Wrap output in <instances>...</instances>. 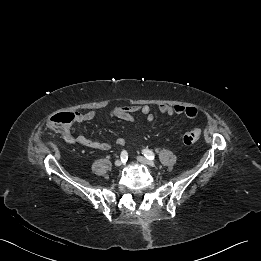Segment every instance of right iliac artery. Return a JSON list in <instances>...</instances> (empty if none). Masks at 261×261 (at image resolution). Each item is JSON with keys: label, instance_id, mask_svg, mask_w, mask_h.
I'll list each match as a JSON object with an SVG mask.
<instances>
[{"label": "right iliac artery", "instance_id": "right-iliac-artery-1", "mask_svg": "<svg viewBox=\"0 0 261 261\" xmlns=\"http://www.w3.org/2000/svg\"><path fill=\"white\" fill-rule=\"evenodd\" d=\"M121 161L123 162V163H125L126 161H127V159H128V153L125 151V150H123L122 152H121Z\"/></svg>", "mask_w": 261, "mask_h": 261}]
</instances>
